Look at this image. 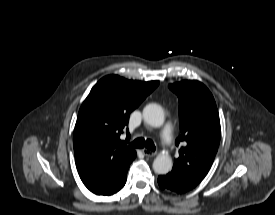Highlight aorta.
<instances>
[{"label": "aorta", "mask_w": 275, "mask_h": 215, "mask_svg": "<svg viewBox=\"0 0 275 215\" xmlns=\"http://www.w3.org/2000/svg\"><path fill=\"white\" fill-rule=\"evenodd\" d=\"M144 121L152 127H160L164 123V111L158 104H148L143 109ZM173 166L172 159L166 154H159L153 161V170L157 174H167Z\"/></svg>", "instance_id": "aorta-1"}]
</instances>
